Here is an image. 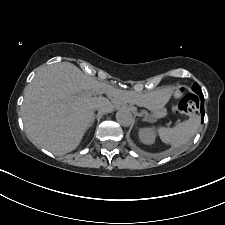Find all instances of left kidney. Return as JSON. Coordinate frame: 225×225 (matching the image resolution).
<instances>
[{"mask_svg":"<svg viewBox=\"0 0 225 225\" xmlns=\"http://www.w3.org/2000/svg\"><path fill=\"white\" fill-rule=\"evenodd\" d=\"M155 132L153 128H142L139 131V138L145 144H153L155 142Z\"/></svg>","mask_w":225,"mask_h":225,"instance_id":"1","label":"left kidney"}]
</instances>
